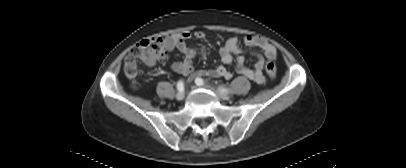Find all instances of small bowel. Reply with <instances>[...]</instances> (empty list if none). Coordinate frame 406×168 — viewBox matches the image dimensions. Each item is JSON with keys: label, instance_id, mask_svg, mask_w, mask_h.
<instances>
[{"label": "small bowel", "instance_id": "obj_1", "mask_svg": "<svg viewBox=\"0 0 406 168\" xmlns=\"http://www.w3.org/2000/svg\"><path fill=\"white\" fill-rule=\"evenodd\" d=\"M195 37L199 40L205 39V34L201 31L195 33ZM191 39V34L188 32L167 36L164 40L167 51L178 50L184 54L185 58L182 61L174 62L172 69L185 76H209L213 78L231 79L233 72L225 66H218L214 69L200 70L195 72L193 59L196 55V49L188 44ZM244 43L251 48L259 49L265 56L266 60H274L276 58L275 48L260 36L247 35L244 38ZM204 52V49H203ZM259 52H254L257 60L253 68L245 64L244 51L238 45L236 37L228 38L226 44L220 49L221 60L224 64H231L233 55H236L235 71L238 74L262 85L265 83L264 67L266 60Z\"/></svg>", "mask_w": 406, "mask_h": 168}]
</instances>
